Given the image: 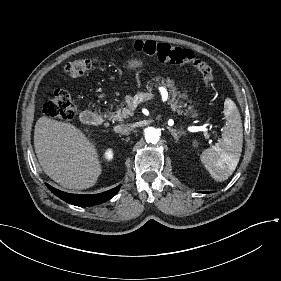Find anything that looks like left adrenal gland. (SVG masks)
<instances>
[{"instance_id": "1", "label": "left adrenal gland", "mask_w": 281, "mask_h": 281, "mask_svg": "<svg viewBox=\"0 0 281 281\" xmlns=\"http://www.w3.org/2000/svg\"><path fill=\"white\" fill-rule=\"evenodd\" d=\"M167 129H168V131L172 134V136L175 138V140H176L177 143L180 142V139H181L182 137H187L186 135L177 132L175 129H171L170 127H168Z\"/></svg>"}]
</instances>
